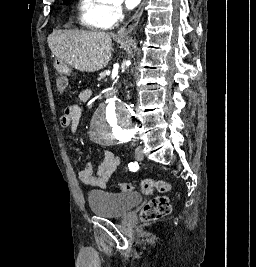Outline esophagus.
I'll use <instances>...</instances> for the list:
<instances>
[{"label":"esophagus","instance_id":"34e87169","mask_svg":"<svg viewBox=\"0 0 256 267\" xmlns=\"http://www.w3.org/2000/svg\"><path fill=\"white\" fill-rule=\"evenodd\" d=\"M146 0H142L141 5L137 9V11L134 13L133 17L130 18V20L123 25V27L120 28V30L117 33V37H120L122 35H127L128 33L132 32V30L137 26L140 17L143 13V9L145 6Z\"/></svg>","mask_w":256,"mask_h":267}]
</instances>
